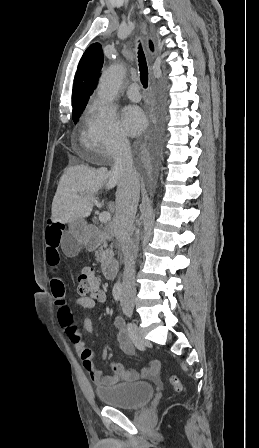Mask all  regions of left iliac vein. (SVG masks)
Listing matches in <instances>:
<instances>
[{"mask_svg":"<svg viewBox=\"0 0 259 448\" xmlns=\"http://www.w3.org/2000/svg\"><path fill=\"white\" fill-rule=\"evenodd\" d=\"M122 310L124 314L128 317L132 315V308H130L125 300H122Z\"/></svg>","mask_w":259,"mask_h":448,"instance_id":"1","label":"left iliac vein"}]
</instances>
